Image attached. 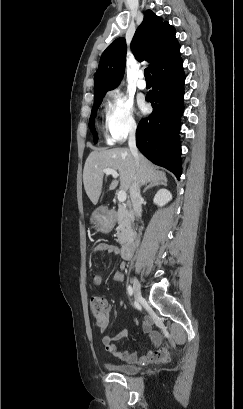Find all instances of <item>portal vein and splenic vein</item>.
<instances>
[{
  "label": "portal vein and splenic vein",
  "instance_id": "18ae733b",
  "mask_svg": "<svg viewBox=\"0 0 243 409\" xmlns=\"http://www.w3.org/2000/svg\"><path fill=\"white\" fill-rule=\"evenodd\" d=\"M103 173H105L106 175H112L114 178H117V177H118L117 171L114 170V169H111V168H106V169H104V170H103ZM117 198H118V201H119L120 203L125 202V200H126V198H127L126 192H125L124 190H120V191L117 193Z\"/></svg>",
  "mask_w": 243,
  "mask_h": 409
}]
</instances>
